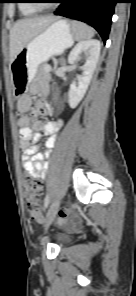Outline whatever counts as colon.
I'll use <instances>...</instances> for the list:
<instances>
[{"label":"colon","instance_id":"colon-1","mask_svg":"<svg viewBox=\"0 0 136 296\" xmlns=\"http://www.w3.org/2000/svg\"><path fill=\"white\" fill-rule=\"evenodd\" d=\"M23 186L27 199V209L30 216L37 221L41 220V185L27 178L23 181ZM61 216L62 218H67L69 216V212L67 210H63Z\"/></svg>","mask_w":136,"mask_h":296}]
</instances>
